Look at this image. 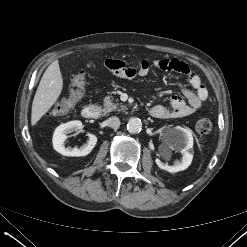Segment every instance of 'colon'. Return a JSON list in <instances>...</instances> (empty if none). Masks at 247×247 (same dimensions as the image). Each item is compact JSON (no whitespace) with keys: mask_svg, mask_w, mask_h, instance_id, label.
Instances as JSON below:
<instances>
[{"mask_svg":"<svg viewBox=\"0 0 247 247\" xmlns=\"http://www.w3.org/2000/svg\"><path fill=\"white\" fill-rule=\"evenodd\" d=\"M85 93V73L80 72L73 76L68 97L56 104L50 114L61 116L67 114L81 100ZM195 130L201 135L208 134L212 130V122L207 116H201L195 123Z\"/></svg>","mask_w":247,"mask_h":247,"instance_id":"5ec220e1","label":"colon"}]
</instances>
